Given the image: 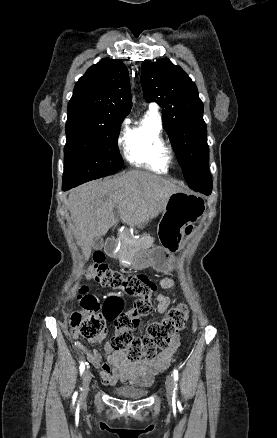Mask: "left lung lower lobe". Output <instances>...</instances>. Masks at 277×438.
<instances>
[{
    "mask_svg": "<svg viewBox=\"0 0 277 438\" xmlns=\"http://www.w3.org/2000/svg\"><path fill=\"white\" fill-rule=\"evenodd\" d=\"M200 193H203L205 195H210L211 194V193H206V192H200Z\"/></svg>",
    "mask_w": 277,
    "mask_h": 438,
    "instance_id": "0a47b994",
    "label": "left lung lower lobe"
}]
</instances>
